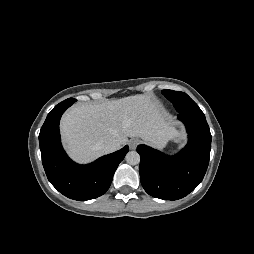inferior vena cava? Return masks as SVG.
Segmentation results:
<instances>
[{"instance_id": "602c4592", "label": "inferior vena cava", "mask_w": 254, "mask_h": 254, "mask_svg": "<svg viewBox=\"0 0 254 254\" xmlns=\"http://www.w3.org/2000/svg\"><path fill=\"white\" fill-rule=\"evenodd\" d=\"M120 148V143L117 141H110L104 146L105 153H111Z\"/></svg>"}]
</instances>
